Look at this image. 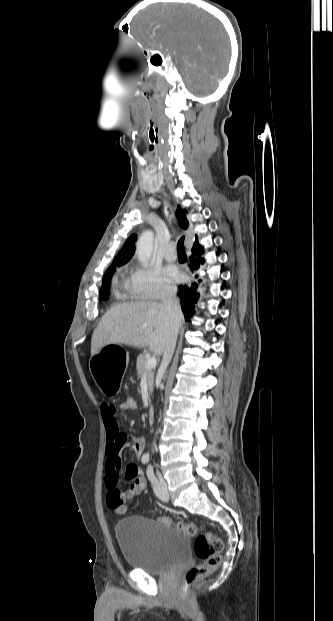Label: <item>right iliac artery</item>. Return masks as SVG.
Masks as SVG:
<instances>
[{
	"label": "right iliac artery",
	"mask_w": 333,
	"mask_h": 621,
	"mask_svg": "<svg viewBox=\"0 0 333 621\" xmlns=\"http://www.w3.org/2000/svg\"><path fill=\"white\" fill-rule=\"evenodd\" d=\"M141 461L143 464H147L149 461V455L148 454H143Z\"/></svg>",
	"instance_id": "1"
}]
</instances>
